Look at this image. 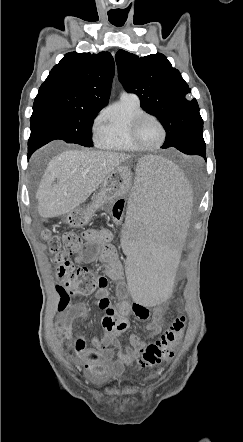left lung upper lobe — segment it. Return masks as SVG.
Wrapping results in <instances>:
<instances>
[{
	"label": "left lung upper lobe",
	"instance_id": "5c2ea615",
	"mask_svg": "<svg viewBox=\"0 0 243 442\" xmlns=\"http://www.w3.org/2000/svg\"><path fill=\"white\" fill-rule=\"evenodd\" d=\"M115 58L125 90L137 94L143 110L156 116L165 128L162 148L175 147L203 131L196 99H186L191 89L163 54L139 58L119 50Z\"/></svg>",
	"mask_w": 243,
	"mask_h": 442
}]
</instances>
